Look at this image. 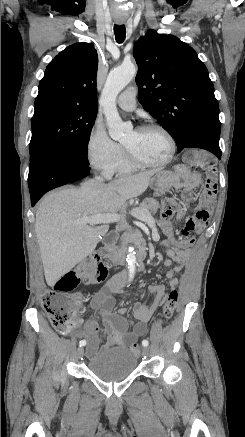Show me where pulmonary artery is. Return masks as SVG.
<instances>
[{"instance_id": "1", "label": "pulmonary artery", "mask_w": 245, "mask_h": 437, "mask_svg": "<svg viewBox=\"0 0 245 437\" xmlns=\"http://www.w3.org/2000/svg\"><path fill=\"white\" fill-rule=\"evenodd\" d=\"M117 104L123 110H133L136 107V88L129 87L123 91L117 99Z\"/></svg>"}]
</instances>
